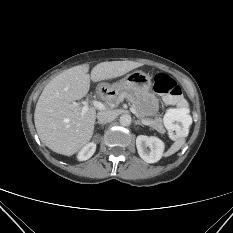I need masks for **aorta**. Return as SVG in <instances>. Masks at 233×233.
Returning <instances> with one entry per match:
<instances>
[{
    "mask_svg": "<svg viewBox=\"0 0 233 233\" xmlns=\"http://www.w3.org/2000/svg\"><path fill=\"white\" fill-rule=\"evenodd\" d=\"M131 116L129 114H123L120 116L119 122L122 126H129L131 124Z\"/></svg>",
    "mask_w": 233,
    "mask_h": 233,
    "instance_id": "aorta-1",
    "label": "aorta"
}]
</instances>
